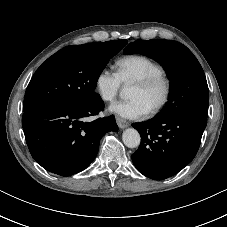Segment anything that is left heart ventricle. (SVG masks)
<instances>
[{"instance_id": "1", "label": "left heart ventricle", "mask_w": 227, "mask_h": 227, "mask_svg": "<svg viewBox=\"0 0 227 227\" xmlns=\"http://www.w3.org/2000/svg\"><path fill=\"white\" fill-rule=\"evenodd\" d=\"M162 94L163 87L160 84L155 85L149 89H143L136 85H133L129 93V98L141 100L149 111L160 101Z\"/></svg>"}]
</instances>
